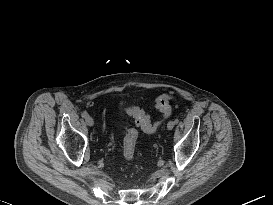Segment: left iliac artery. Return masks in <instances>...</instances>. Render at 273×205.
Here are the masks:
<instances>
[{
  "label": "left iliac artery",
  "mask_w": 273,
  "mask_h": 205,
  "mask_svg": "<svg viewBox=\"0 0 273 205\" xmlns=\"http://www.w3.org/2000/svg\"><path fill=\"white\" fill-rule=\"evenodd\" d=\"M174 122H175V124H177V123L179 122V120H178V119H175V121H174Z\"/></svg>",
  "instance_id": "left-iliac-artery-1"
}]
</instances>
